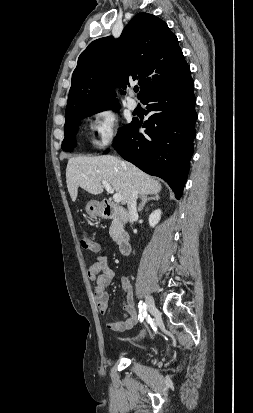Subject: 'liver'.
I'll list each match as a JSON object with an SVG mask.
<instances>
[{"label":"liver","mask_w":253,"mask_h":413,"mask_svg":"<svg viewBox=\"0 0 253 413\" xmlns=\"http://www.w3.org/2000/svg\"><path fill=\"white\" fill-rule=\"evenodd\" d=\"M103 181L121 194L123 205L128 202L132 188L141 196L158 194L162 188L158 181L135 165L115 156H78L68 160L66 182L73 202L77 198L78 187L94 195L101 194Z\"/></svg>","instance_id":"1"}]
</instances>
